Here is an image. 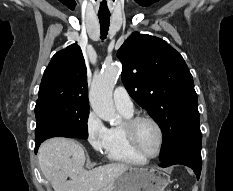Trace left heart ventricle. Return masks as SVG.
I'll return each instance as SVG.
<instances>
[{
  "label": "left heart ventricle",
  "instance_id": "left-heart-ventricle-1",
  "mask_svg": "<svg viewBox=\"0 0 233 191\" xmlns=\"http://www.w3.org/2000/svg\"><path fill=\"white\" fill-rule=\"evenodd\" d=\"M137 142L142 152L152 156L157 152L159 136L155 126L149 121H142L137 127Z\"/></svg>",
  "mask_w": 233,
  "mask_h": 191
}]
</instances>
